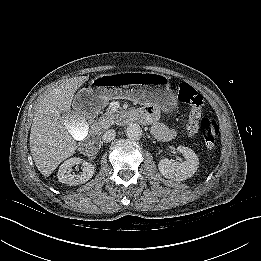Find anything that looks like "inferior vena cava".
Instances as JSON below:
<instances>
[{"label":"inferior vena cava","instance_id":"inferior-vena-cava-1","mask_svg":"<svg viewBox=\"0 0 261 261\" xmlns=\"http://www.w3.org/2000/svg\"><path fill=\"white\" fill-rule=\"evenodd\" d=\"M115 136H116L115 130L110 129L105 131V133L102 136V140L104 142H111L112 140H114Z\"/></svg>","mask_w":261,"mask_h":261}]
</instances>
